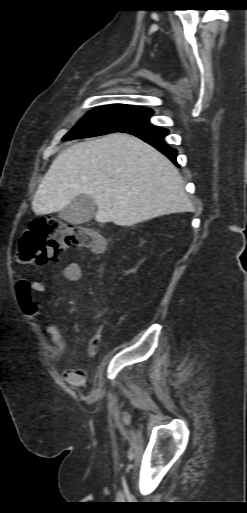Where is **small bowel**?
Masks as SVG:
<instances>
[{"instance_id":"obj_1","label":"small bowel","mask_w":247,"mask_h":513,"mask_svg":"<svg viewBox=\"0 0 247 513\" xmlns=\"http://www.w3.org/2000/svg\"><path fill=\"white\" fill-rule=\"evenodd\" d=\"M82 276V270L79 263H68L64 266L62 277L68 281H78ZM44 284H30L26 279L21 278L16 284V296L18 304L22 311L27 315L30 320L37 321L40 318V310L33 300V294L41 292L44 289ZM44 332L47 337L49 345L50 359L53 361L60 360L66 352V344L62 338L58 328L47 323L44 325ZM86 354L91 356L93 354L92 346L89 345ZM65 380L68 384L80 387L84 380L83 375L76 369L68 370L64 373Z\"/></svg>"}]
</instances>
